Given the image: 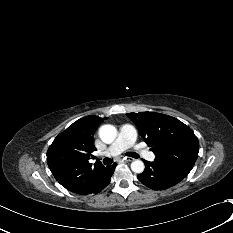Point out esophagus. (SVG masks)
<instances>
[{
	"instance_id": "obj_1",
	"label": "esophagus",
	"mask_w": 233,
	"mask_h": 233,
	"mask_svg": "<svg viewBox=\"0 0 233 233\" xmlns=\"http://www.w3.org/2000/svg\"><path fill=\"white\" fill-rule=\"evenodd\" d=\"M124 160H126L127 162H132V161H134V158L124 157Z\"/></svg>"
}]
</instances>
